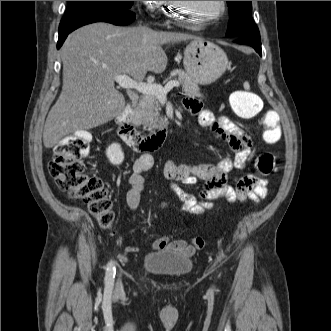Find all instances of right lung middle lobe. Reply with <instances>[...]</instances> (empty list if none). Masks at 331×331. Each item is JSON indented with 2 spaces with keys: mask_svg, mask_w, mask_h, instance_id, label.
Wrapping results in <instances>:
<instances>
[{
  "mask_svg": "<svg viewBox=\"0 0 331 331\" xmlns=\"http://www.w3.org/2000/svg\"><path fill=\"white\" fill-rule=\"evenodd\" d=\"M132 4L133 1H68L59 30L86 18L129 10Z\"/></svg>",
  "mask_w": 331,
  "mask_h": 331,
  "instance_id": "right-lung-middle-lobe-1",
  "label": "right lung middle lobe"
}]
</instances>
